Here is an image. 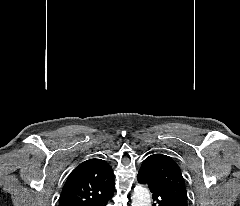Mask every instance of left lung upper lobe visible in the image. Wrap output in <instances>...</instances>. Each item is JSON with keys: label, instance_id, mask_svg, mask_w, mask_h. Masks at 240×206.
Segmentation results:
<instances>
[{"label": "left lung upper lobe", "instance_id": "1", "mask_svg": "<svg viewBox=\"0 0 240 206\" xmlns=\"http://www.w3.org/2000/svg\"><path fill=\"white\" fill-rule=\"evenodd\" d=\"M145 168L155 184L176 206H188V198L181 170L169 156L156 153L148 156L141 166Z\"/></svg>", "mask_w": 240, "mask_h": 206}]
</instances>
